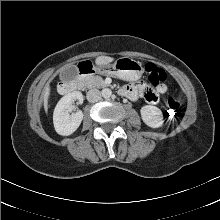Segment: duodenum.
Instances as JSON below:
<instances>
[{"label":"duodenum","mask_w":220,"mask_h":220,"mask_svg":"<svg viewBox=\"0 0 220 220\" xmlns=\"http://www.w3.org/2000/svg\"><path fill=\"white\" fill-rule=\"evenodd\" d=\"M94 68L90 63H82L78 67V77L75 80L65 81L60 86V92L67 94L78 89L81 79L93 73Z\"/></svg>","instance_id":"1"}]
</instances>
